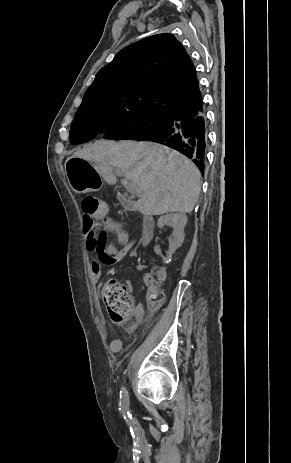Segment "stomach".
I'll list each match as a JSON object with an SVG mask.
<instances>
[{
	"instance_id": "obj_1",
	"label": "stomach",
	"mask_w": 291,
	"mask_h": 463,
	"mask_svg": "<svg viewBox=\"0 0 291 463\" xmlns=\"http://www.w3.org/2000/svg\"><path fill=\"white\" fill-rule=\"evenodd\" d=\"M67 174L73 190L86 193L101 188L102 183L89 157H66Z\"/></svg>"
}]
</instances>
